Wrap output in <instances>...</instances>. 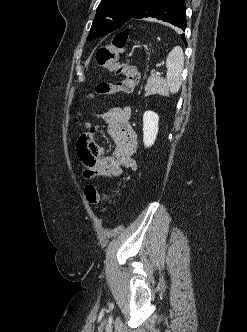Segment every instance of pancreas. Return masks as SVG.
<instances>
[{"label": "pancreas", "mask_w": 247, "mask_h": 332, "mask_svg": "<svg viewBox=\"0 0 247 332\" xmlns=\"http://www.w3.org/2000/svg\"><path fill=\"white\" fill-rule=\"evenodd\" d=\"M163 83L162 78H160L158 75L156 74H152L148 80H147V84L145 86V91H146V95H152V94H156L159 90V88L161 87Z\"/></svg>", "instance_id": "obj_1"}]
</instances>
